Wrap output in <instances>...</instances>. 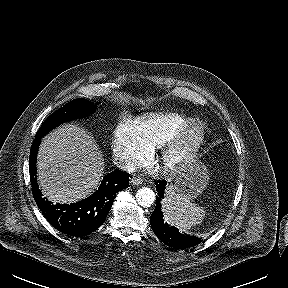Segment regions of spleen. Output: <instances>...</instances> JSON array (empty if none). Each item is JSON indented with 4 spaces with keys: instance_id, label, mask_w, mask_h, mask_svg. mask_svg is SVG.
I'll return each mask as SVG.
<instances>
[{
    "instance_id": "1",
    "label": "spleen",
    "mask_w": 288,
    "mask_h": 288,
    "mask_svg": "<svg viewBox=\"0 0 288 288\" xmlns=\"http://www.w3.org/2000/svg\"><path fill=\"white\" fill-rule=\"evenodd\" d=\"M162 204L165 221L180 230H188L200 224L206 214L204 208L192 203L186 197L175 194L170 188L167 189Z\"/></svg>"
}]
</instances>
